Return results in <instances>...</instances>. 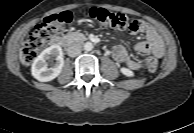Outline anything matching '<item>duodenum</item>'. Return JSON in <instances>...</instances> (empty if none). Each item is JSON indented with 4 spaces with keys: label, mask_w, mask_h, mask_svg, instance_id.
<instances>
[{
    "label": "duodenum",
    "mask_w": 194,
    "mask_h": 133,
    "mask_svg": "<svg viewBox=\"0 0 194 133\" xmlns=\"http://www.w3.org/2000/svg\"><path fill=\"white\" fill-rule=\"evenodd\" d=\"M76 40H78L80 43H85L87 41V38L85 36H80ZM72 43V40L58 36L53 39L52 44L55 46H60V47H66Z\"/></svg>",
    "instance_id": "1"
}]
</instances>
